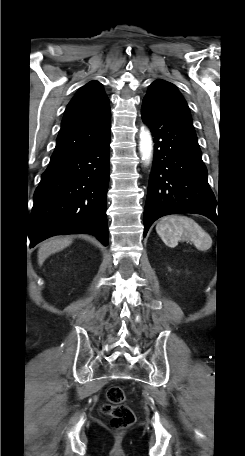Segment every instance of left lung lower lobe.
Wrapping results in <instances>:
<instances>
[{
	"label": "left lung lower lobe",
	"mask_w": 245,
	"mask_h": 456,
	"mask_svg": "<svg viewBox=\"0 0 245 456\" xmlns=\"http://www.w3.org/2000/svg\"><path fill=\"white\" fill-rule=\"evenodd\" d=\"M141 116L155 142L144 210V236L155 220L169 214L196 213L215 221L216 201L192 120L144 99Z\"/></svg>",
	"instance_id": "left-lung-lower-lobe-1"
}]
</instances>
